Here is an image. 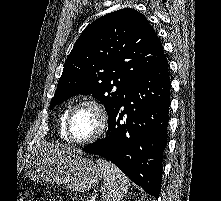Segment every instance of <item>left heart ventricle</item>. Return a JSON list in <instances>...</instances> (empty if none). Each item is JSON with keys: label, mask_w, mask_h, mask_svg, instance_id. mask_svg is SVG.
<instances>
[{"label": "left heart ventricle", "mask_w": 221, "mask_h": 201, "mask_svg": "<svg viewBox=\"0 0 221 201\" xmlns=\"http://www.w3.org/2000/svg\"><path fill=\"white\" fill-rule=\"evenodd\" d=\"M98 129V116L90 107H82L76 111L71 121V133L75 139L83 140L91 137Z\"/></svg>", "instance_id": "1"}]
</instances>
